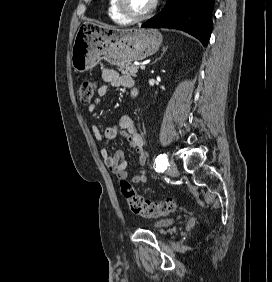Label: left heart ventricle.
Here are the masks:
<instances>
[{
  "label": "left heart ventricle",
  "instance_id": "obj_1",
  "mask_svg": "<svg viewBox=\"0 0 272 282\" xmlns=\"http://www.w3.org/2000/svg\"><path fill=\"white\" fill-rule=\"evenodd\" d=\"M153 3V0H127L130 9L136 14H142L148 11Z\"/></svg>",
  "mask_w": 272,
  "mask_h": 282
}]
</instances>
